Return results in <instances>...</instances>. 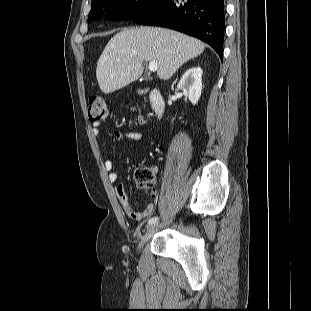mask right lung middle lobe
<instances>
[{
    "label": "right lung middle lobe",
    "mask_w": 311,
    "mask_h": 311,
    "mask_svg": "<svg viewBox=\"0 0 311 311\" xmlns=\"http://www.w3.org/2000/svg\"><path fill=\"white\" fill-rule=\"evenodd\" d=\"M159 0H95L89 13V22L105 17L108 20L135 18Z\"/></svg>",
    "instance_id": "1"
}]
</instances>
